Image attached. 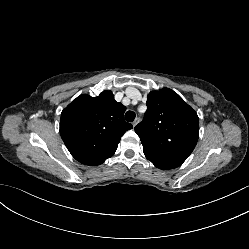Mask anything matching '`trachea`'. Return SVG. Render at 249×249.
Listing matches in <instances>:
<instances>
[{"label": "trachea", "instance_id": "1", "mask_svg": "<svg viewBox=\"0 0 249 249\" xmlns=\"http://www.w3.org/2000/svg\"><path fill=\"white\" fill-rule=\"evenodd\" d=\"M136 117V114L133 111H127L125 114V119L128 122H133Z\"/></svg>", "mask_w": 249, "mask_h": 249}]
</instances>
